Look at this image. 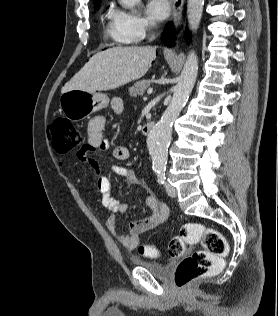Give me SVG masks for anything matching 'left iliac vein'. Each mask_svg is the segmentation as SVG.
Instances as JSON below:
<instances>
[{"instance_id": "left-iliac-vein-1", "label": "left iliac vein", "mask_w": 278, "mask_h": 316, "mask_svg": "<svg viewBox=\"0 0 278 316\" xmlns=\"http://www.w3.org/2000/svg\"><path fill=\"white\" fill-rule=\"evenodd\" d=\"M165 189L170 197L175 198L177 196V191L171 184L166 182Z\"/></svg>"}]
</instances>
